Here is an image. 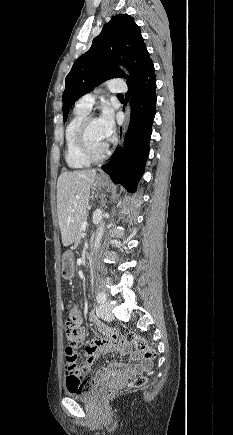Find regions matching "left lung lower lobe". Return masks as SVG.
<instances>
[{"mask_svg": "<svg viewBox=\"0 0 233 435\" xmlns=\"http://www.w3.org/2000/svg\"><path fill=\"white\" fill-rule=\"evenodd\" d=\"M131 120L124 149H117L102 167L115 183L135 192V183L144 173L156 106V76L153 63L129 85ZM128 98V97H127ZM125 163V166H124Z\"/></svg>", "mask_w": 233, "mask_h": 435, "instance_id": "obj_1", "label": "left lung lower lobe"}]
</instances>
